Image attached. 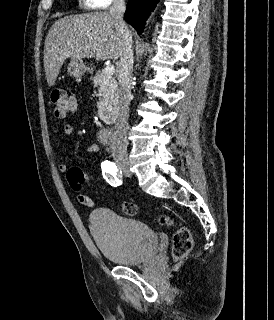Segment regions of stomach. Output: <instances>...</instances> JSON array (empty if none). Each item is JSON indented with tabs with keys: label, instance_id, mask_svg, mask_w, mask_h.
I'll return each mask as SVG.
<instances>
[{
	"label": "stomach",
	"instance_id": "1",
	"mask_svg": "<svg viewBox=\"0 0 274 320\" xmlns=\"http://www.w3.org/2000/svg\"><path fill=\"white\" fill-rule=\"evenodd\" d=\"M69 68L73 76H83L84 72L88 70L82 60H76V58H71Z\"/></svg>",
	"mask_w": 274,
	"mask_h": 320
}]
</instances>
